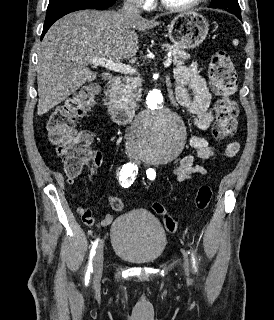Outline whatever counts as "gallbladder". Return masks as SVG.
<instances>
[{"mask_svg":"<svg viewBox=\"0 0 274 320\" xmlns=\"http://www.w3.org/2000/svg\"><path fill=\"white\" fill-rule=\"evenodd\" d=\"M92 78L93 79H104L105 78V73L104 72H93L92 73Z\"/></svg>","mask_w":274,"mask_h":320,"instance_id":"obj_1","label":"gallbladder"}]
</instances>
